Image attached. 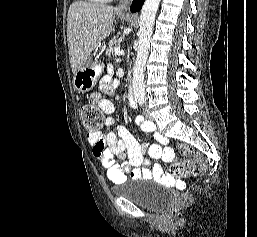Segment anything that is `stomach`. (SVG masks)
<instances>
[{"label": "stomach", "instance_id": "1", "mask_svg": "<svg viewBox=\"0 0 257 237\" xmlns=\"http://www.w3.org/2000/svg\"><path fill=\"white\" fill-rule=\"evenodd\" d=\"M101 70V66L92 59V56H89L74 74V89L80 93L90 91L96 85Z\"/></svg>", "mask_w": 257, "mask_h": 237}]
</instances>
